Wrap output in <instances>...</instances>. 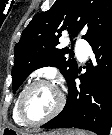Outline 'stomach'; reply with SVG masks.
Masks as SVG:
<instances>
[{"mask_svg": "<svg viewBox=\"0 0 112 135\" xmlns=\"http://www.w3.org/2000/svg\"><path fill=\"white\" fill-rule=\"evenodd\" d=\"M0 135H20V133L15 129L7 127L0 132ZM39 135H77V133L74 131H53L48 133H42Z\"/></svg>", "mask_w": 112, "mask_h": 135, "instance_id": "obj_1", "label": "stomach"}]
</instances>
